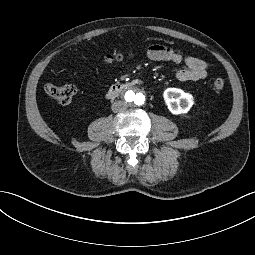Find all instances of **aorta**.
<instances>
[{
	"label": "aorta",
	"instance_id": "aorta-1",
	"mask_svg": "<svg viewBox=\"0 0 255 255\" xmlns=\"http://www.w3.org/2000/svg\"><path fill=\"white\" fill-rule=\"evenodd\" d=\"M125 100L129 105L138 107L145 103V96L139 89L130 88L125 92Z\"/></svg>",
	"mask_w": 255,
	"mask_h": 255
}]
</instances>
